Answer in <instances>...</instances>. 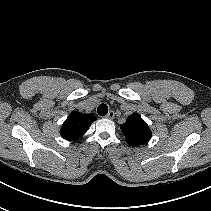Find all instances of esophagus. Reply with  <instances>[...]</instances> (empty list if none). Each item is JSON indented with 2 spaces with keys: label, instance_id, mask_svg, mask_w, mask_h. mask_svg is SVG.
<instances>
[{
  "label": "esophagus",
  "instance_id": "1",
  "mask_svg": "<svg viewBox=\"0 0 211 211\" xmlns=\"http://www.w3.org/2000/svg\"><path fill=\"white\" fill-rule=\"evenodd\" d=\"M115 116L114 111H109V113L105 116L107 119H113Z\"/></svg>",
  "mask_w": 211,
  "mask_h": 211
}]
</instances>
